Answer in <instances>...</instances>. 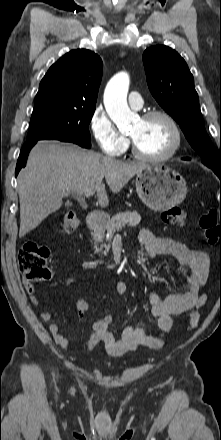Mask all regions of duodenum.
Masks as SVG:
<instances>
[{
  "label": "duodenum",
  "instance_id": "duodenum-1",
  "mask_svg": "<svg viewBox=\"0 0 221 440\" xmlns=\"http://www.w3.org/2000/svg\"><path fill=\"white\" fill-rule=\"evenodd\" d=\"M107 220L106 216L99 212H91L86 220V226L89 230L99 228Z\"/></svg>",
  "mask_w": 221,
  "mask_h": 440
}]
</instances>
